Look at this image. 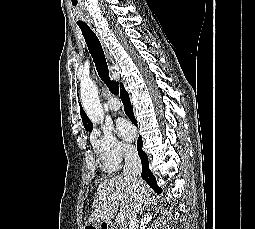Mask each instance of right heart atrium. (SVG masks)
I'll return each instance as SVG.
<instances>
[{"label": "right heart atrium", "mask_w": 255, "mask_h": 229, "mask_svg": "<svg viewBox=\"0 0 255 229\" xmlns=\"http://www.w3.org/2000/svg\"><path fill=\"white\" fill-rule=\"evenodd\" d=\"M92 144L105 171L117 169L124 158L132 156L135 152L133 146L117 139L109 128L94 131Z\"/></svg>", "instance_id": "1"}]
</instances>
